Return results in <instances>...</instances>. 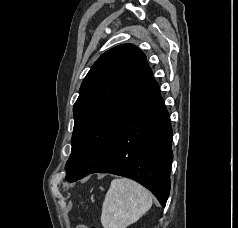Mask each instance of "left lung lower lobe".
Segmentation results:
<instances>
[{
    "label": "left lung lower lobe",
    "mask_w": 238,
    "mask_h": 228,
    "mask_svg": "<svg viewBox=\"0 0 238 228\" xmlns=\"http://www.w3.org/2000/svg\"><path fill=\"white\" fill-rule=\"evenodd\" d=\"M171 143L169 113L151 75L108 156L91 171L67 180L75 182L96 172L128 177L149 189L164 207L170 192Z\"/></svg>",
    "instance_id": "left-lung-lower-lobe-1"
}]
</instances>
